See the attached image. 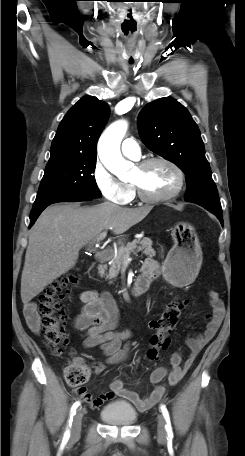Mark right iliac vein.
I'll use <instances>...</instances> for the list:
<instances>
[{"label":"right iliac vein","mask_w":245,"mask_h":456,"mask_svg":"<svg viewBox=\"0 0 245 456\" xmlns=\"http://www.w3.org/2000/svg\"><path fill=\"white\" fill-rule=\"evenodd\" d=\"M83 415V410L78 409L73 418V423L71 427V440H77L80 436Z\"/></svg>","instance_id":"63e3f726"}]
</instances>
